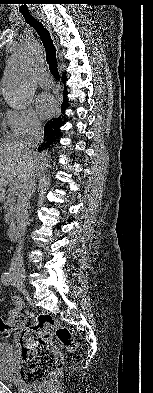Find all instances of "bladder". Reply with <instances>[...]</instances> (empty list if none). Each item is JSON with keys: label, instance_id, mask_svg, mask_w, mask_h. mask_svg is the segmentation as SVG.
I'll list each match as a JSON object with an SVG mask.
<instances>
[{"label": "bladder", "instance_id": "bladder-1", "mask_svg": "<svg viewBox=\"0 0 153 393\" xmlns=\"http://www.w3.org/2000/svg\"><path fill=\"white\" fill-rule=\"evenodd\" d=\"M16 364L14 362V353L11 345L0 344V380L14 382V371Z\"/></svg>", "mask_w": 153, "mask_h": 393}]
</instances>
